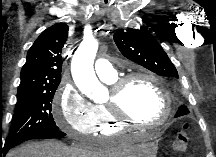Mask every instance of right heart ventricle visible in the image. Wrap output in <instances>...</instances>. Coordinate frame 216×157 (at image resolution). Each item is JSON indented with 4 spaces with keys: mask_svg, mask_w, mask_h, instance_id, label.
Here are the masks:
<instances>
[{
    "mask_svg": "<svg viewBox=\"0 0 216 157\" xmlns=\"http://www.w3.org/2000/svg\"><path fill=\"white\" fill-rule=\"evenodd\" d=\"M115 78L106 81L112 84ZM95 110L98 116L97 131L101 136H110L115 133L126 130V126L117 122L111 115L109 109L105 104L95 105Z\"/></svg>",
    "mask_w": 216,
    "mask_h": 157,
    "instance_id": "1",
    "label": "right heart ventricle"
}]
</instances>
